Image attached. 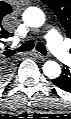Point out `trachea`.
<instances>
[{
    "instance_id": "3493384b",
    "label": "trachea",
    "mask_w": 71,
    "mask_h": 119,
    "mask_svg": "<svg viewBox=\"0 0 71 119\" xmlns=\"http://www.w3.org/2000/svg\"><path fill=\"white\" fill-rule=\"evenodd\" d=\"M37 50H39L41 52V50H40V48L38 46H37Z\"/></svg>"
}]
</instances>
